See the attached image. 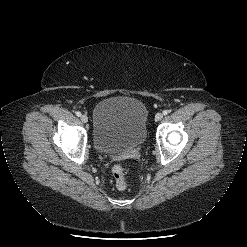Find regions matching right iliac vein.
Listing matches in <instances>:
<instances>
[{
    "label": "right iliac vein",
    "instance_id": "obj_1",
    "mask_svg": "<svg viewBox=\"0 0 247 247\" xmlns=\"http://www.w3.org/2000/svg\"><path fill=\"white\" fill-rule=\"evenodd\" d=\"M81 121H82L83 123L88 122V116H87L86 114L81 115Z\"/></svg>",
    "mask_w": 247,
    "mask_h": 247
}]
</instances>
